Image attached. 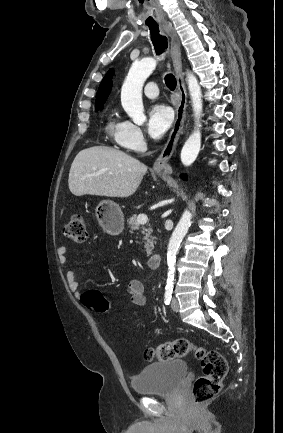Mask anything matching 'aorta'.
<instances>
[{"label":"aorta","instance_id":"762f6f07","mask_svg":"<svg viewBox=\"0 0 283 433\" xmlns=\"http://www.w3.org/2000/svg\"><path fill=\"white\" fill-rule=\"evenodd\" d=\"M156 65V60L150 57L144 58L140 61H135L132 64L122 86L121 103L123 109L137 125H142L146 120L142 102V88L146 79L156 68ZM187 84L195 117V127L181 150V162L184 166H190L196 160L200 151V117L203 108L201 88L198 84L197 78L190 72L187 74ZM190 223L191 213L190 211L185 210L170 238L167 250L168 287L173 286L176 255L178 248L190 227Z\"/></svg>","mask_w":283,"mask_h":433}]
</instances>
